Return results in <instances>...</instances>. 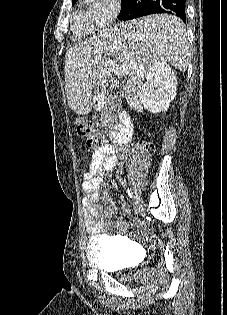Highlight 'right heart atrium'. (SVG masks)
I'll list each match as a JSON object with an SVG mask.
<instances>
[{"label": "right heart atrium", "instance_id": "d8ad5b80", "mask_svg": "<svg viewBox=\"0 0 227 315\" xmlns=\"http://www.w3.org/2000/svg\"><path fill=\"white\" fill-rule=\"evenodd\" d=\"M95 26L99 29L110 25L117 17L121 5L119 0H86Z\"/></svg>", "mask_w": 227, "mask_h": 315}]
</instances>
